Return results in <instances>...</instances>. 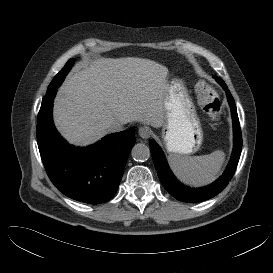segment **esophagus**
<instances>
[{
    "instance_id": "obj_1",
    "label": "esophagus",
    "mask_w": 273,
    "mask_h": 273,
    "mask_svg": "<svg viewBox=\"0 0 273 273\" xmlns=\"http://www.w3.org/2000/svg\"><path fill=\"white\" fill-rule=\"evenodd\" d=\"M138 133L143 139H148L151 136V130L148 127H140Z\"/></svg>"
}]
</instances>
